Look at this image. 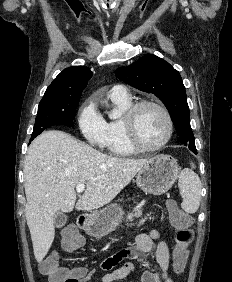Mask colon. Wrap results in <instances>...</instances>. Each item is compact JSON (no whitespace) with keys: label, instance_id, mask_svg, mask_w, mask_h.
I'll return each mask as SVG.
<instances>
[{"label":"colon","instance_id":"5ec220e1","mask_svg":"<svg viewBox=\"0 0 232 282\" xmlns=\"http://www.w3.org/2000/svg\"><path fill=\"white\" fill-rule=\"evenodd\" d=\"M170 223L175 229L173 249V268L176 273L183 272L188 255L189 246L193 242L194 232L192 219L183 212L174 200L167 202ZM61 245L67 252H74L82 246L81 237L72 229H65L61 234ZM40 271L49 277L52 282H78V277L68 273V270L59 266L58 257L49 255L40 264Z\"/></svg>","mask_w":232,"mask_h":282}]
</instances>
